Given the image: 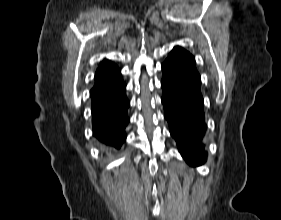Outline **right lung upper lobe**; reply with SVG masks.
Here are the masks:
<instances>
[{"label": "right lung upper lobe", "mask_w": 281, "mask_h": 220, "mask_svg": "<svg viewBox=\"0 0 281 220\" xmlns=\"http://www.w3.org/2000/svg\"><path fill=\"white\" fill-rule=\"evenodd\" d=\"M122 80L120 69L110 61L103 60L95 73V84L93 88L111 86Z\"/></svg>", "instance_id": "right-lung-upper-lobe-1"}]
</instances>
